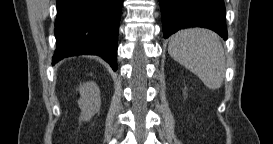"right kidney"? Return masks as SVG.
Instances as JSON below:
<instances>
[{"label": "right kidney", "mask_w": 273, "mask_h": 144, "mask_svg": "<svg viewBox=\"0 0 273 144\" xmlns=\"http://www.w3.org/2000/svg\"><path fill=\"white\" fill-rule=\"evenodd\" d=\"M80 100L78 105L81 108V121H90L92 116L95 114L94 102L99 98V89L93 82L84 83L79 88Z\"/></svg>", "instance_id": "ca27d5eb"}]
</instances>
